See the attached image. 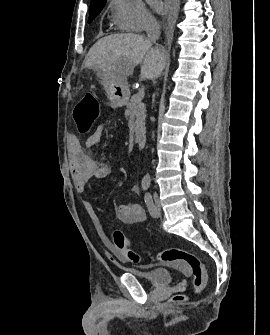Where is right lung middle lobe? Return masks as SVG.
<instances>
[{
    "mask_svg": "<svg viewBox=\"0 0 270 335\" xmlns=\"http://www.w3.org/2000/svg\"><path fill=\"white\" fill-rule=\"evenodd\" d=\"M106 2L104 3H100V4H96V5H90L89 8V19L88 22H92V20L101 12V10L103 9L104 5Z\"/></svg>",
    "mask_w": 270,
    "mask_h": 335,
    "instance_id": "obj_1",
    "label": "right lung middle lobe"
}]
</instances>
